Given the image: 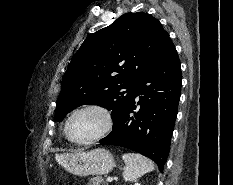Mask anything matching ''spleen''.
I'll return each mask as SVG.
<instances>
[{
  "label": "spleen",
  "mask_w": 233,
  "mask_h": 185,
  "mask_svg": "<svg viewBox=\"0 0 233 185\" xmlns=\"http://www.w3.org/2000/svg\"><path fill=\"white\" fill-rule=\"evenodd\" d=\"M122 159L125 162L123 172L125 181H136L144 174L154 170L153 162L140 154L126 153Z\"/></svg>",
  "instance_id": "obj_1"
}]
</instances>
